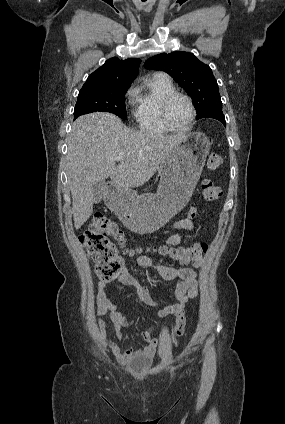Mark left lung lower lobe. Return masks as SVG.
<instances>
[{
  "label": "left lung lower lobe",
  "mask_w": 285,
  "mask_h": 424,
  "mask_svg": "<svg viewBox=\"0 0 285 424\" xmlns=\"http://www.w3.org/2000/svg\"><path fill=\"white\" fill-rule=\"evenodd\" d=\"M203 118H214V119H217L221 123H223L224 126H226V121H225V117L223 115L222 109L211 110Z\"/></svg>",
  "instance_id": "left-lung-lower-lobe-1"
}]
</instances>
